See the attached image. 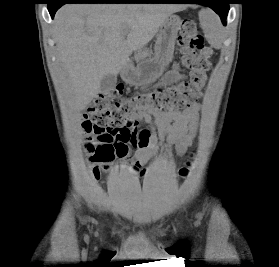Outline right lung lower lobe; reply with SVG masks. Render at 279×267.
I'll return each mask as SVG.
<instances>
[{
    "label": "right lung lower lobe",
    "instance_id": "1",
    "mask_svg": "<svg viewBox=\"0 0 279 267\" xmlns=\"http://www.w3.org/2000/svg\"><path fill=\"white\" fill-rule=\"evenodd\" d=\"M160 0H50L48 10L52 18L56 11L66 3H158Z\"/></svg>",
    "mask_w": 279,
    "mask_h": 267
}]
</instances>
